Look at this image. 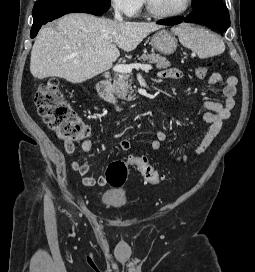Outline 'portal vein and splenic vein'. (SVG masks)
I'll return each instance as SVG.
<instances>
[{
  "mask_svg": "<svg viewBox=\"0 0 255 272\" xmlns=\"http://www.w3.org/2000/svg\"><path fill=\"white\" fill-rule=\"evenodd\" d=\"M133 69H141L143 71H149L152 69L151 65H147V64H130V65H126V64H116L113 67V71L118 72V73H131Z\"/></svg>",
  "mask_w": 255,
  "mask_h": 272,
  "instance_id": "1",
  "label": "portal vein and splenic vein"
}]
</instances>
